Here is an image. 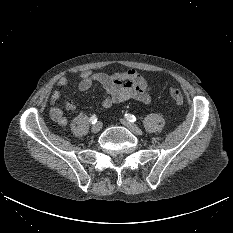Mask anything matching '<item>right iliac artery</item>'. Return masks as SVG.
I'll list each match as a JSON object with an SVG mask.
<instances>
[{"mask_svg": "<svg viewBox=\"0 0 233 233\" xmlns=\"http://www.w3.org/2000/svg\"><path fill=\"white\" fill-rule=\"evenodd\" d=\"M90 123H92V124H95L96 122H97V117H96V115H92L91 117H90Z\"/></svg>", "mask_w": 233, "mask_h": 233, "instance_id": "1", "label": "right iliac artery"}]
</instances>
